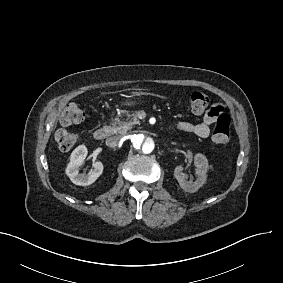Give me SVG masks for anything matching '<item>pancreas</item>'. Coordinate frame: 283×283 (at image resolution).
I'll use <instances>...</instances> for the list:
<instances>
[{
    "label": "pancreas",
    "mask_w": 283,
    "mask_h": 283,
    "mask_svg": "<svg viewBox=\"0 0 283 283\" xmlns=\"http://www.w3.org/2000/svg\"><path fill=\"white\" fill-rule=\"evenodd\" d=\"M135 124H139L136 114H127L126 121L115 118V122L110 126V131L115 134L125 135L128 130L132 129Z\"/></svg>",
    "instance_id": "1"
}]
</instances>
